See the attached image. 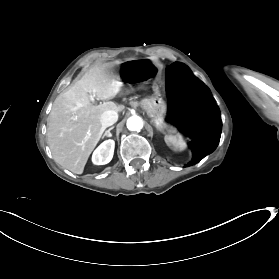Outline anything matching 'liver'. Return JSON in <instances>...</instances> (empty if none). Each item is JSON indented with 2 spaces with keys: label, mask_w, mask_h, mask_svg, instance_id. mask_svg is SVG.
<instances>
[{
  "label": "liver",
  "mask_w": 279,
  "mask_h": 279,
  "mask_svg": "<svg viewBox=\"0 0 279 279\" xmlns=\"http://www.w3.org/2000/svg\"><path fill=\"white\" fill-rule=\"evenodd\" d=\"M121 86L110 68L91 69L68 91L57 96L47 118V143L56 163L75 174L83 173L105 130L101 124L102 113L118 111L112 101L94 105L90 95L109 100L118 94Z\"/></svg>",
  "instance_id": "6515ba94"
}]
</instances>
